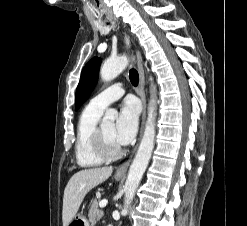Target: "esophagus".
<instances>
[{"label": "esophagus", "mask_w": 247, "mask_h": 226, "mask_svg": "<svg viewBox=\"0 0 247 226\" xmlns=\"http://www.w3.org/2000/svg\"><path fill=\"white\" fill-rule=\"evenodd\" d=\"M136 58H137V64H138V73H139V89H138V94L140 96V99L142 101L143 105V111H142V123H141V130H140V137L142 136L143 133V128L145 124V119H146V94H145V77H144V69H143V60L142 56L139 50L136 51ZM137 146L135 147L134 151L136 150ZM131 157L128 159L123 165H121L116 173L118 175H124L127 171V168L130 164Z\"/></svg>", "instance_id": "esophagus-1"}]
</instances>
